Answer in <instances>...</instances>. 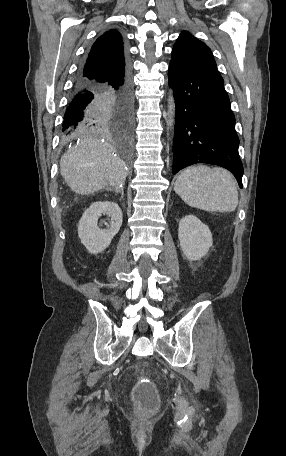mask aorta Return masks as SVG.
Wrapping results in <instances>:
<instances>
[{"label": "aorta", "instance_id": "1", "mask_svg": "<svg viewBox=\"0 0 286 456\" xmlns=\"http://www.w3.org/2000/svg\"><path fill=\"white\" fill-rule=\"evenodd\" d=\"M174 117H175V100L173 96V91H169V96H168V122L169 125L172 126L174 123Z\"/></svg>", "mask_w": 286, "mask_h": 456}]
</instances>
